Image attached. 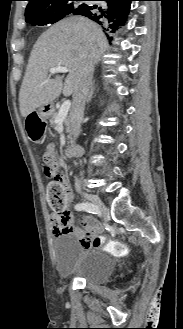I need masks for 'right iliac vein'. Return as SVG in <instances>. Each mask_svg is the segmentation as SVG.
I'll list each match as a JSON object with an SVG mask.
<instances>
[{
    "label": "right iliac vein",
    "mask_w": 183,
    "mask_h": 329,
    "mask_svg": "<svg viewBox=\"0 0 183 329\" xmlns=\"http://www.w3.org/2000/svg\"><path fill=\"white\" fill-rule=\"evenodd\" d=\"M79 194L86 200L92 202L97 209L100 212V215L107 217L108 216V210L107 208L102 204V202L100 201V199L93 194L87 193L85 191H80Z\"/></svg>",
    "instance_id": "obj_1"
}]
</instances>
